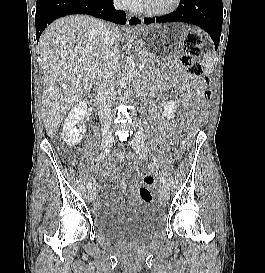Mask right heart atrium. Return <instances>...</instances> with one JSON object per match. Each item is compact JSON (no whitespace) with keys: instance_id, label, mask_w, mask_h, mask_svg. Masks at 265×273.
Wrapping results in <instances>:
<instances>
[{"instance_id":"d8ad5b80","label":"right heart atrium","mask_w":265,"mask_h":273,"mask_svg":"<svg viewBox=\"0 0 265 273\" xmlns=\"http://www.w3.org/2000/svg\"><path fill=\"white\" fill-rule=\"evenodd\" d=\"M133 0H114V3L116 4V6L118 7H128Z\"/></svg>"}]
</instances>
